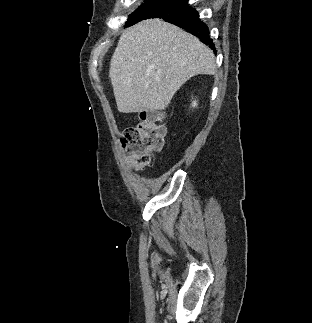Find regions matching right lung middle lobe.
<instances>
[{
  "mask_svg": "<svg viewBox=\"0 0 312 323\" xmlns=\"http://www.w3.org/2000/svg\"><path fill=\"white\" fill-rule=\"evenodd\" d=\"M188 6V0H147L129 16L126 26H131L144 19L160 18Z\"/></svg>",
  "mask_w": 312,
  "mask_h": 323,
  "instance_id": "right-lung-middle-lobe-1",
  "label": "right lung middle lobe"
}]
</instances>
